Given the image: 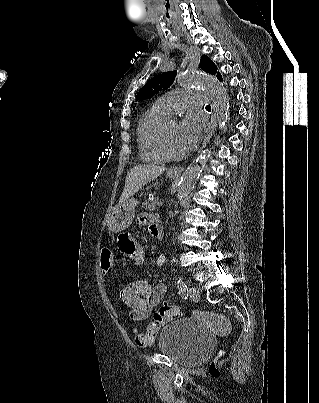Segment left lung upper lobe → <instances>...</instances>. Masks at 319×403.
Segmentation results:
<instances>
[{"label": "left lung upper lobe", "mask_w": 319, "mask_h": 403, "mask_svg": "<svg viewBox=\"0 0 319 403\" xmlns=\"http://www.w3.org/2000/svg\"><path fill=\"white\" fill-rule=\"evenodd\" d=\"M199 68L213 75L217 73L216 65L206 55L201 58ZM176 74L177 71L165 72L157 75L156 77L148 81L144 87H142V89L137 94L136 100L149 99L155 94L159 93V91L168 89L173 84ZM219 74L220 73L218 72L217 76Z\"/></svg>", "instance_id": "5c2ea615"}]
</instances>
